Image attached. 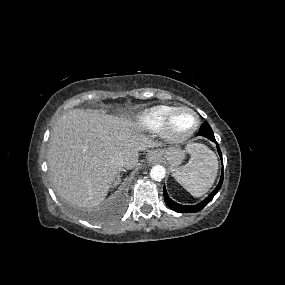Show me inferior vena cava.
<instances>
[{
	"mask_svg": "<svg viewBox=\"0 0 285 285\" xmlns=\"http://www.w3.org/2000/svg\"><path fill=\"white\" fill-rule=\"evenodd\" d=\"M113 163L115 164V166H116L118 169H121L122 167H125V166H126L125 159L122 158L121 156H116V157H114Z\"/></svg>",
	"mask_w": 285,
	"mask_h": 285,
	"instance_id": "obj_1",
	"label": "inferior vena cava"
}]
</instances>
